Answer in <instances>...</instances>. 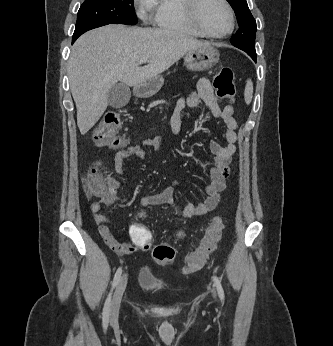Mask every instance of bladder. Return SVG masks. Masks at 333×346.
I'll list each match as a JSON object with an SVG mask.
<instances>
[{
	"mask_svg": "<svg viewBox=\"0 0 333 346\" xmlns=\"http://www.w3.org/2000/svg\"><path fill=\"white\" fill-rule=\"evenodd\" d=\"M139 286L146 291H159L162 289V283L155 276L152 269L143 266L139 273Z\"/></svg>",
	"mask_w": 333,
	"mask_h": 346,
	"instance_id": "1",
	"label": "bladder"
}]
</instances>
